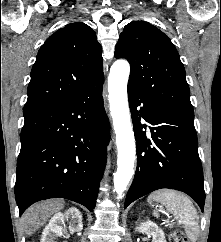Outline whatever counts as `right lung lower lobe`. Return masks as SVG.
<instances>
[{"label": "right lung lower lobe", "mask_w": 221, "mask_h": 242, "mask_svg": "<svg viewBox=\"0 0 221 242\" xmlns=\"http://www.w3.org/2000/svg\"><path fill=\"white\" fill-rule=\"evenodd\" d=\"M103 83L99 78L62 103L24 113L15 183L20 215L55 197L95 208L110 138Z\"/></svg>", "instance_id": "98d812e1"}]
</instances>
